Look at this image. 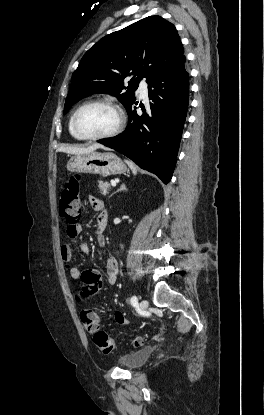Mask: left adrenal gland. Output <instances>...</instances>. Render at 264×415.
<instances>
[{
	"instance_id": "obj_1",
	"label": "left adrenal gland",
	"mask_w": 264,
	"mask_h": 415,
	"mask_svg": "<svg viewBox=\"0 0 264 415\" xmlns=\"http://www.w3.org/2000/svg\"><path fill=\"white\" fill-rule=\"evenodd\" d=\"M123 190H126L125 184H121L120 188L116 192H120V191H123ZM116 192H114L113 194H115ZM113 194H111V196H113Z\"/></svg>"
}]
</instances>
